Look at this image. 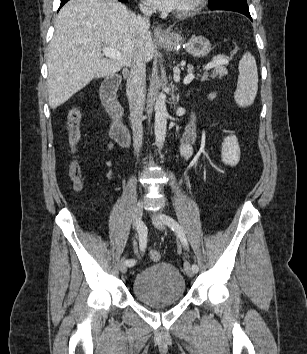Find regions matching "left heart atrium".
<instances>
[{
	"label": "left heart atrium",
	"mask_w": 307,
	"mask_h": 354,
	"mask_svg": "<svg viewBox=\"0 0 307 354\" xmlns=\"http://www.w3.org/2000/svg\"><path fill=\"white\" fill-rule=\"evenodd\" d=\"M153 7L162 11H173L179 9L182 0H147Z\"/></svg>",
	"instance_id": "39dd6f15"
}]
</instances>
